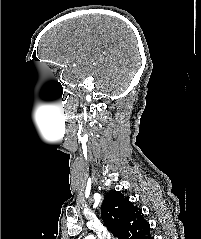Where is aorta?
<instances>
[{
    "instance_id": "1",
    "label": "aorta",
    "mask_w": 201,
    "mask_h": 239,
    "mask_svg": "<svg viewBox=\"0 0 201 239\" xmlns=\"http://www.w3.org/2000/svg\"><path fill=\"white\" fill-rule=\"evenodd\" d=\"M85 239H95V238H94V236L89 235V236H87Z\"/></svg>"
}]
</instances>
